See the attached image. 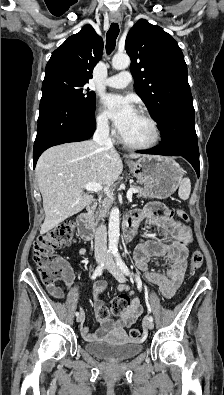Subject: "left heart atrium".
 Listing matches in <instances>:
<instances>
[{
  "label": "left heart atrium",
  "instance_id": "obj_1",
  "mask_svg": "<svg viewBox=\"0 0 224 395\" xmlns=\"http://www.w3.org/2000/svg\"><path fill=\"white\" fill-rule=\"evenodd\" d=\"M103 106L119 132L125 129L129 121L137 113L130 98L117 94L104 96Z\"/></svg>",
  "mask_w": 224,
  "mask_h": 395
}]
</instances>
